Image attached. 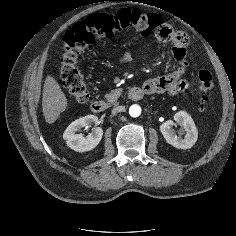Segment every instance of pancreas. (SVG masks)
I'll return each mask as SVG.
<instances>
[{"label":"pancreas","mask_w":236,"mask_h":236,"mask_svg":"<svg viewBox=\"0 0 236 236\" xmlns=\"http://www.w3.org/2000/svg\"><path fill=\"white\" fill-rule=\"evenodd\" d=\"M122 91V88L113 89L110 93L105 94V98L108 102L113 103L121 96Z\"/></svg>","instance_id":"obj_1"}]
</instances>
